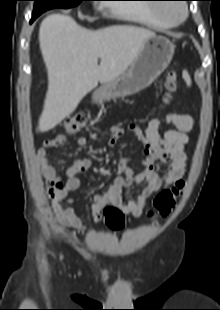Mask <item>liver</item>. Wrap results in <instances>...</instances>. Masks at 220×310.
<instances>
[{"label": "liver", "mask_w": 220, "mask_h": 310, "mask_svg": "<svg viewBox=\"0 0 220 310\" xmlns=\"http://www.w3.org/2000/svg\"><path fill=\"white\" fill-rule=\"evenodd\" d=\"M154 36L153 31L135 26L117 25L93 31L68 15L47 16L40 25L39 43L47 68L48 90L37 130L53 129L75 111L98 82L122 75L143 43Z\"/></svg>", "instance_id": "6515ba94"}]
</instances>
